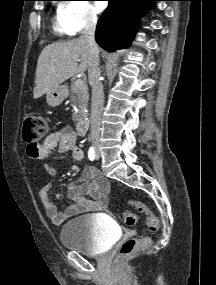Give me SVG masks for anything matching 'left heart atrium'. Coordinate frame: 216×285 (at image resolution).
<instances>
[{
    "instance_id": "39dd6f15",
    "label": "left heart atrium",
    "mask_w": 216,
    "mask_h": 285,
    "mask_svg": "<svg viewBox=\"0 0 216 285\" xmlns=\"http://www.w3.org/2000/svg\"><path fill=\"white\" fill-rule=\"evenodd\" d=\"M105 7H106V2L104 1L96 2V9L98 11H102Z\"/></svg>"
}]
</instances>
